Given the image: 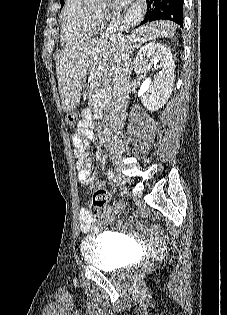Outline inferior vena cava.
Instances as JSON below:
<instances>
[{
    "mask_svg": "<svg viewBox=\"0 0 227 315\" xmlns=\"http://www.w3.org/2000/svg\"><path fill=\"white\" fill-rule=\"evenodd\" d=\"M120 21L119 11H114L112 19L105 34L108 38L116 37V30ZM128 52L121 54L120 60L114 70L112 80V99L110 102V122L108 128V147L111 152L119 151V135L123 128L126 117V108L129 98V79L132 70V64L129 60Z\"/></svg>",
    "mask_w": 227,
    "mask_h": 315,
    "instance_id": "1",
    "label": "inferior vena cava"
}]
</instances>
